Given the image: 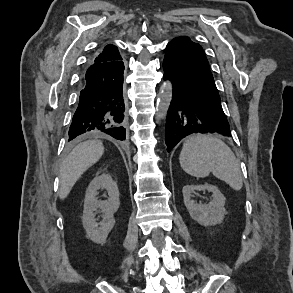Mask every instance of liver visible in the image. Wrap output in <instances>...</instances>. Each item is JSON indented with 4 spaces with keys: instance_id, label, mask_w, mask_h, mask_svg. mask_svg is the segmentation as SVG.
Here are the masks:
<instances>
[{
    "instance_id": "1",
    "label": "liver",
    "mask_w": 293,
    "mask_h": 293,
    "mask_svg": "<svg viewBox=\"0 0 293 293\" xmlns=\"http://www.w3.org/2000/svg\"><path fill=\"white\" fill-rule=\"evenodd\" d=\"M104 146L100 140H89L77 145L60 166L59 197L65 199L82 174L102 157Z\"/></svg>"
}]
</instances>
